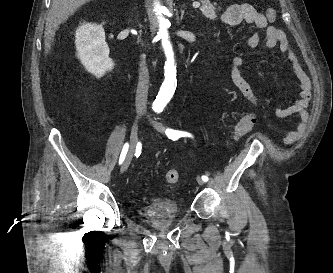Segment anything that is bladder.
Segmentation results:
<instances>
[{"instance_id": "31cf9c89", "label": "bladder", "mask_w": 333, "mask_h": 273, "mask_svg": "<svg viewBox=\"0 0 333 273\" xmlns=\"http://www.w3.org/2000/svg\"><path fill=\"white\" fill-rule=\"evenodd\" d=\"M138 212L150 224L159 228L167 227L181 217L179 207L173 200H157L142 204Z\"/></svg>"}]
</instances>
